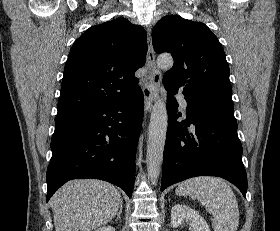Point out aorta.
<instances>
[{
    "label": "aorta",
    "mask_w": 280,
    "mask_h": 231,
    "mask_svg": "<svg viewBox=\"0 0 280 231\" xmlns=\"http://www.w3.org/2000/svg\"><path fill=\"white\" fill-rule=\"evenodd\" d=\"M157 66L159 70H170L173 66L172 56L170 54H161L157 58ZM167 125L168 114L166 106L163 100H157L150 117L146 155L147 171L152 183H155L157 177H159Z\"/></svg>",
    "instance_id": "1"
}]
</instances>
